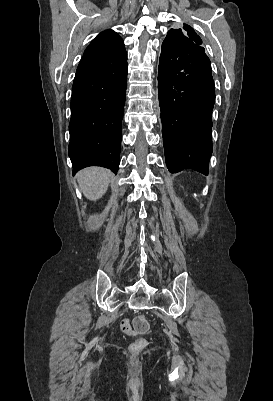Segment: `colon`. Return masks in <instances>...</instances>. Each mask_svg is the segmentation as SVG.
<instances>
[{
    "instance_id": "5ec220e1",
    "label": "colon",
    "mask_w": 273,
    "mask_h": 401,
    "mask_svg": "<svg viewBox=\"0 0 273 401\" xmlns=\"http://www.w3.org/2000/svg\"><path fill=\"white\" fill-rule=\"evenodd\" d=\"M140 319H136L134 322L135 329L138 333H145L148 326L143 320L145 318L144 314L139 315ZM149 344V339L147 337H136L135 340H128L127 349L125 350L126 358H139L140 353H145Z\"/></svg>"
}]
</instances>
